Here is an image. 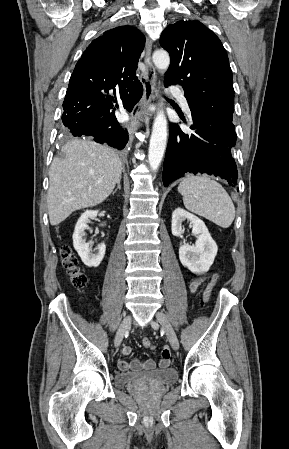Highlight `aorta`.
<instances>
[{
  "mask_svg": "<svg viewBox=\"0 0 289 449\" xmlns=\"http://www.w3.org/2000/svg\"><path fill=\"white\" fill-rule=\"evenodd\" d=\"M156 68L164 73L170 64V57L165 50H156L152 56ZM167 142V119L163 111H159L154 119L150 138L148 160L152 171L156 172L164 156Z\"/></svg>",
  "mask_w": 289,
  "mask_h": 449,
  "instance_id": "obj_1",
  "label": "aorta"
}]
</instances>
